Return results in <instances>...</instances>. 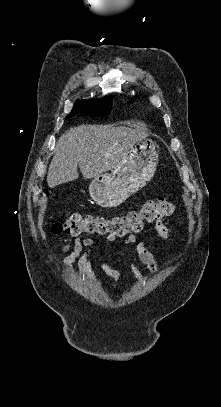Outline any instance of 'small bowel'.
I'll use <instances>...</instances> for the list:
<instances>
[{"label":"small bowel","mask_w":221,"mask_h":407,"mask_svg":"<svg viewBox=\"0 0 221 407\" xmlns=\"http://www.w3.org/2000/svg\"><path fill=\"white\" fill-rule=\"evenodd\" d=\"M169 219L164 218L162 220H158L155 223V231L157 235L167 244H171V234L168 228ZM116 241V237L108 236L105 238L101 247L106 246L112 242ZM138 241L137 236L134 234L129 235L117 248L116 252L119 253L121 248L124 245L136 243ZM95 242L91 238H75L74 240L71 239H64L61 246L62 253H68V256L65 259V264L70 265L74 261H78V272L79 278L83 282H89L95 289L101 288L102 284L97 279V276L92 268L91 265V257L93 255V251L95 249ZM137 254L141 263L146 267V269L152 273L157 274L159 270V266L156 262L155 255L152 251V247L146 241H140L137 243ZM133 271L135 273L136 279L140 281L141 273L137 269L136 265L130 260ZM101 267L103 271L112 277V284H115L119 279L118 271L112 269L107 263L101 262Z\"/></svg>","instance_id":"obj_1"}]
</instances>
